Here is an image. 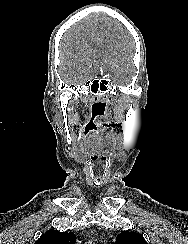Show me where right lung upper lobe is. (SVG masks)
<instances>
[{
    "label": "right lung upper lobe",
    "mask_w": 188,
    "mask_h": 244,
    "mask_svg": "<svg viewBox=\"0 0 188 244\" xmlns=\"http://www.w3.org/2000/svg\"><path fill=\"white\" fill-rule=\"evenodd\" d=\"M76 237L73 232H59L50 230L43 234L34 244H75Z\"/></svg>",
    "instance_id": "obj_1"
}]
</instances>
